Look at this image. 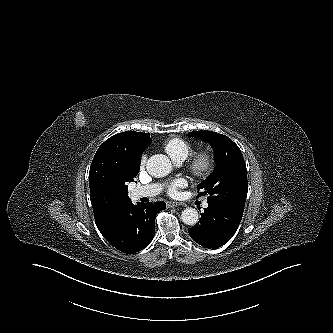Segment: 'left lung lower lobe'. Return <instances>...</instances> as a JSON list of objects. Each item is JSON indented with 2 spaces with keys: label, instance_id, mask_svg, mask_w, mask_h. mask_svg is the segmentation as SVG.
Masks as SVG:
<instances>
[{
  "label": "left lung lower lobe",
  "instance_id": "1",
  "mask_svg": "<svg viewBox=\"0 0 333 333\" xmlns=\"http://www.w3.org/2000/svg\"><path fill=\"white\" fill-rule=\"evenodd\" d=\"M208 207L201 214L200 221L188 229L192 239L201 246L218 248L235 234L243 212L224 204L207 201Z\"/></svg>",
  "mask_w": 333,
  "mask_h": 333
}]
</instances>
